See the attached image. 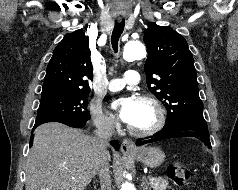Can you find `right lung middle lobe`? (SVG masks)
Instances as JSON below:
<instances>
[{
  "instance_id": "obj_1",
  "label": "right lung middle lobe",
  "mask_w": 238,
  "mask_h": 190,
  "mask_svg": "<svg viewBox=\"0 0 238 190\" xmlns=\"http://www.w3.org/2000/svg\"><path fill=\"white\" fill-rule=\"evenodd\" d=\"M70 120H89L86 93L57 94L41 97L35 124Z\"/></svg>"
}]
</instances>
